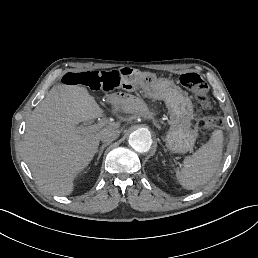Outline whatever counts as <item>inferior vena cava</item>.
I'll return each mask as SVG.
<instances>
[{
    "mask_svg": "<svg viewBox=\"0 0 258 258\" xmlns=\"http://www.w3.org/2000/svg\"><path fill=\"white\" fill-rule=\"evenodd\" d=\"M100 134V139L102 142L110 143L119 137L120 131L112 127H106L100 132Z\"/></svg>",
    "mask_w": 258,
    "mask_h": 258,
    "instance_id": "obj_1",
    "label": "inferior vena cava"
}]
</instances>
